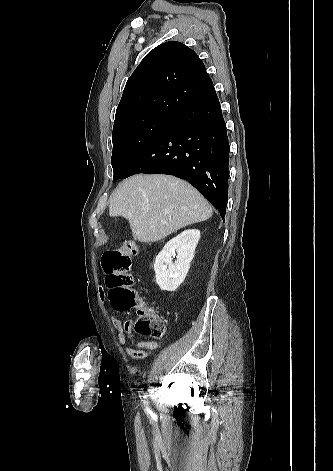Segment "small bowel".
<instances>
[{"label": "small bowel", "instance_id": "small-bowel-1", "mask_svg": "<svg viewBox=\"0 0 333 471\" xmlns=\"http://www.w3.org/2000/svg\"><path fill=\"white\" fill-rule=\"evenodd\" d=\"M99 296L101 300H105V292L100 287ZM113 327L118 331L117 340L120 344H125L126 341H130L131 346L125 348L127 355L133 358H145L150 353L158 348V344L155 341H136L133 336V320L128 319L122 322L116 317H112Z\"/></svg>", "mask_w": 333, "mask_h": 471}]
</instances>
